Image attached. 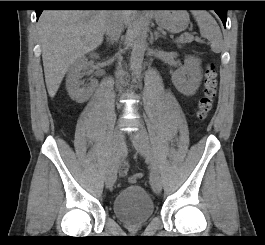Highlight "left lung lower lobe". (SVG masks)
<instances>
[{
	"mask_svg": "<svg viewBox=\"0 0 265 245\" xmlns=\"http://www.w3.org/2000/svg\"><path fill=\"white\" fill-rule=\"evenodd\" d=\"M185 5H190L189 3H194L193 5H199V1H184ZM161 4L164 5H170V6H178L179 1H162ZM215 12L218 14V16L221 18L224 26H226V20H227V9H217Z\"/></svg>",
	"mask_w": 265,
	"mask_h": 245,
	"instance_id": "0a47b994",
	"label": "left lung lower lobe"
}]
</instances>
